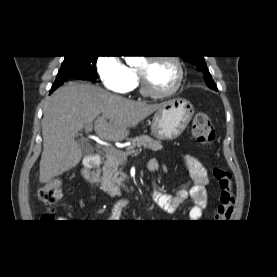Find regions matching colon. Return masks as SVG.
I'll return each instance as SVG.
<instances>
[{
	"instance_id": "obj_1",
	"label": "colon",
	"mask_w": 277,
	"mask_h": 277,
	"mask_svg": "<svg viewBox=\"0 0 277 277\" xmlns=\"http://www.w3.org/2000/svg\"><path fill=\"white\" fill-rule=\"evenodd\" d=\"M192 134L198 143L211 146L215 140V130L210 117L204 112H197L192 120ZM213 175L219 186V202L214 218L216 222H226L233 213L234 191L230 173L224 168H215ZM62 183L60 180H52L39 189L40 200L49 207L41 219L52 222L55 218L53 206L62 196Z\"/></svg>"
}]
</instances>
